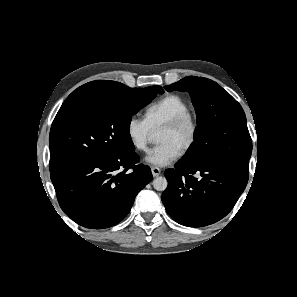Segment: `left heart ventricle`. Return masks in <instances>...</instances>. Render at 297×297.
Wrapping results in <instances>:
<instances>
[{"label":"left heart ventricle","mask_w":297,"mask_h":297,"mask_svg":"<svg viewBox=\"0 0 297 297\" xmlns=\"http://www.w3.org/2000/svg\"><path fill=\"white\" fill-rule=\"evenodd\" d=\"M189 130L187 127L175 131L160 130L158 134V143H171L179 150L182 148L188 138Z\"/></svg>","instance_id":"b2bd125f"}]
</instances>
